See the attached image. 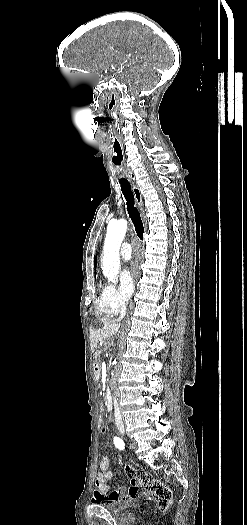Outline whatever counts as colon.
Instances as JSON below:
<instances>
[{"mask_svg": "<svg viewBox=\"0 0 247 525\" xmlns=\"http://www.w3.org/2000/svg\"><path fill=\"white\" fill-rule=\"evenodd\" d=\"M95 424L99 427V431L104 432L106 430V420L102 417L96 419Z\"/></svg>", "mask_w": 247, "mask_h": 525, "instance_id": "5ec220e1", "label": "colon"}]
</instances>
